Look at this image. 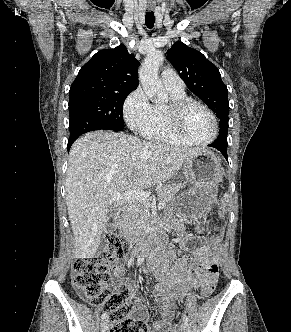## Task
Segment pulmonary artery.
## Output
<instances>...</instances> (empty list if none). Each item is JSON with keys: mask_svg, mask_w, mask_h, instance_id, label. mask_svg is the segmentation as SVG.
Here are the masks:
<instances>
[{"mask_svg": "<svg viewBox=\"0 0 291 332\" xmlns=\"http://www.w3.org/2000/svg\"><path fill=\"white\" fill-rule=\"evenodd\" d=\"M161 81L168 91L184 92V83L179 75L172 69H165L161 73Z\"/></svg>", "mask_w": 291, "mask_h": 332, "instance_id": "e3ab8cb5", "label": "pulmonary artery"}]
</instances>
